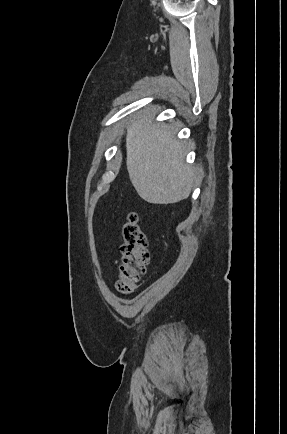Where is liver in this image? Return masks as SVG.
Listing matches in <instances>:
<instances>
[{"label":"liver","mask_w":287,"mask_h":434,"mask_svg":"<svg viewBox=\"0 0 287 434\" xmlns=\"http://www.w3.org/2000/svg\"><path fill=\"white\" fill-rule=\"evenodd\" d=\"M153 114L138 116L127 127V169L138 195L152 204H173L189 197L195 172L185 163L184 144Z\"/></svg>","instance_id":"1"}]
</instances>
